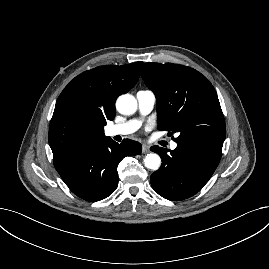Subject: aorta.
<instances>
[{
	"instance_id": "1",
	"label": "aorta",
	"mask_w": 269,
	"mask_h": 269,
	"mask_svg": "<svg viewBox=\"0 0 269 269\" xmlns=\"http://www.w3.org/2000/svg\"><path fill=\"white\" fill-rule=\"evenodd\" d=\"M116 109L123 115H132L137 110V101L134 96L123 94L116 101ZM144 165L146 168L156 171L161 166V158L156 153H149L144 158Z\"/></svg>"
}]
</instances>
